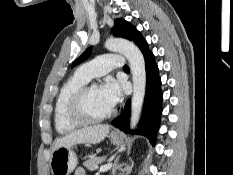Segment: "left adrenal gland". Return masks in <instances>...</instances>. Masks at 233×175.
<instances>
[{
  "mask_svg": "<svg viewBox=\"0 0 233 175\" xmlns=\"http://www.w3.org/2000/svg\"><path fill=\"white\" fill-rule=\"evenodd\" d=\"M120 167V165H115L114 168L112 169L113 175L115 174V171Z\"/></svg>",
  "mask_w": 233,
  "mask_h": 175,
  "instance_id": "left-adrenal-gland-1",
  "label": "left adrenal gland"
}]
</instances>
